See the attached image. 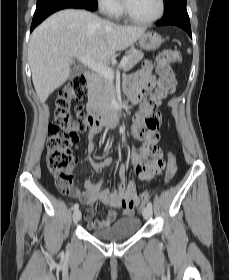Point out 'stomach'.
Segmentation results:
<instances>
[{
  "mask_svg": "<svg viewBox=\"0 0 229 280\" xmlns=\"http://www.w3.org/2000/svg\"><path fill=\"white\" fill-rule=\"evenodd\" d=\"M162 37L156 32H146L139 38V45L142 49L153 51L160 47Z\"/></svg>",
  "mask_w": 229,
  "mask_h": 280,
  "instance_id": "stomach-1",
  "label": "stomach"
}]
</instances>
